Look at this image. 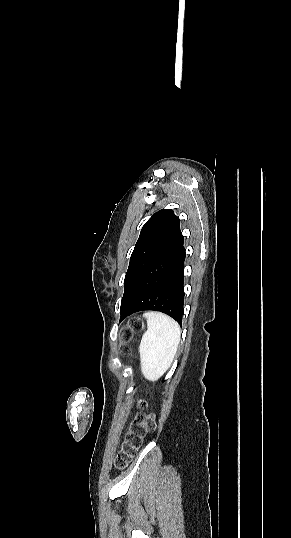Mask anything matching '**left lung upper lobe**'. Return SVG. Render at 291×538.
I'll return each mask as SVG.
<instances>
[{
	"instance_id": "1",
	"label": "left lung upper lobe",
	"mask_w": 291,
	"mask_h": 538,
	"mask_svg": "<svg viewBox=\"0 0 291 538\" xmlns=\"http://www.w3.org/2000/svg\"><path fill=\"white\" fill-rule=\"evenodd\" d=\"M180 219L173 210L162 209L144 224L124 279V304L151 263L180 235Z\"/></svg>"
}]
</instances>
